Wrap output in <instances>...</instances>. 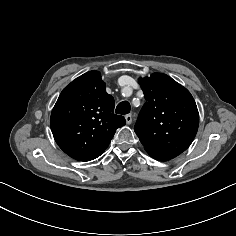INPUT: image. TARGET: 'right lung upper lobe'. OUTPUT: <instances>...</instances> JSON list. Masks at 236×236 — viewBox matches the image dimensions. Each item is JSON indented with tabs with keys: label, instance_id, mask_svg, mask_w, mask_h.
I'll list each match as a JSON object with an SVG mask.
<instances>
[{
	"label": "right lung upper lobe",
	"instance_id": "obj_1",
	"mask_svg": "<svg viewBox=\"0 0 236 236\" xmlns=\"http://www.w3.org/2000/svg\"><path fill=\"white\" fill-rule=\"evenodd\" d=\"M125 123L114 114V99L98 71L81 75L63 89L50 120L58 146L78 161L99 157Z\"/></svg>",
	"mask_w": 236,
	"mask_h": 236
}]
</instances>
